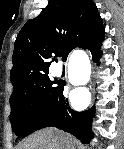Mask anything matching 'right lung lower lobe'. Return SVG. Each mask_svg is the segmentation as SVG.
I'll return each mask as SVG.
<instances>
[{"label": "right lung lower lobe", "mask_w": 124, "mask_h": 149, "mask_svg": "<svg viewBox=\"0 0 124 149\" xmlns=\"http://www.w3.org/2000/svg\"><path fill=\"white\" fill-rule=\"evenodd\" d=\"M101 42L89 49L93 61L99 65ZM95 116L94 106L86 111H74L63 95V85L59 84L49 101L44 107L39 109L28 121L22 138L45 127H57L77 137L82 143H89L93 137L91 131L92 120Z\"/></svg>", "instance_id": "98d812e1"}]
</instances>
